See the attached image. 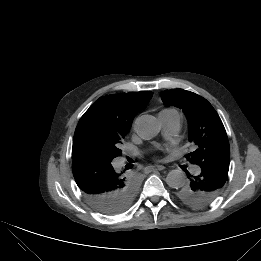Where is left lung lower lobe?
<instances>
[{
  "label": "left lung lower lobe",
  "mask_w": 261,
  "mask_h": 261,
  "mask_svg": "<svg viewBox=\"0 0 261 261\" xmlns=\"http://www.w3.org/2000/svg\"><path fill=\"white\" fill-rule=\"evenodd\" d=\"M228 170L229 164L205 162L200 165V173L189 178L188 186L193 191L203 193L206 198H216L227 180Z\"/></svg>",
  "instance_id": "obj_1"
}]
</instances>
